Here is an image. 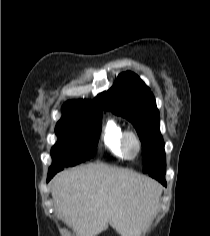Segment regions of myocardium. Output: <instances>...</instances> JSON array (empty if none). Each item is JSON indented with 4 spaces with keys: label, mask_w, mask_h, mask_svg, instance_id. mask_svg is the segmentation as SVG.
Wrapping results in <instances>:
<instances>
[{
    "label": "myocardium",
    "mask_w": 210,
    "mask_h": 236,
    "mask_svg": "<svg viewBox=\"0 0 210 236\" xmlns=\"http://www.w3.org/2000/svg\"><path fill=\"white\" fill-rule=\"evenodd\" d=\"M133 141L136 145V152L134 155H130L128 152V143ZM122 153L127 160H134L137 158L142 150V143L139 135L133 130H125L121 139Z\"/></svg>",
    "instance_id": "f54148a6"
}]
</instances>
